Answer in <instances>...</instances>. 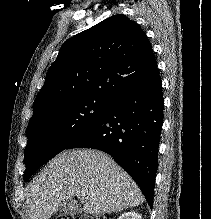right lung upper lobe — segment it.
I'll return each mask as SVG.
<instances>
[{
	"mask_svg": "<svg viewBox=\"0 0 211 219\" xmlns=\"http://www.w3.org/2000/svg\"><path fill=\"white\" fill-rule=\"evenodd\" d=\"M157 69L150 41L125 15H114L68 39L37 95L30 120L80 98L113 101Z\"/></svg>",
	"mask_w": 211,
	"mask_h": 219,
	"instance_id": "obj_1",
	"label": "right lung upper lobe"
}]
</instances>
